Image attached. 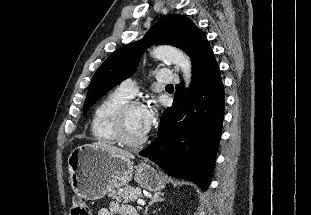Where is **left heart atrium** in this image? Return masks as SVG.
Listing matches in <instances>:
<instances>
[{"label":"left heart atrium","mask_w":311,"mask_h":215,"mask_svg":"<svg viewBox=\"0 0 311 215\" xmlns=\"http://www.w3.org/2000/svg\"><path fill=\"white\" fill-rule=\"evenodd\" d=\"M155 118V109L153 107H144L141 115V128L144 134L151 129Z\"/></svg>","instance_id":"1"}]
</instances>
